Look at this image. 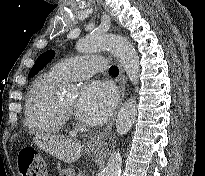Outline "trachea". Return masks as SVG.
Segmentation results:
<instances>
[{
    "instance_id": "obj_1",
    "label": "trachea",
    "mask_w": 205,
    "mask_h": 176,
    "mask_svg": "<svg viewBox=\"0 0 205 176\" xmlns=\"http://www.w3.org/2000/svg\"><path fill=\"white\" fill-rule=\"evenodd\" d=\"M118 73H119L118 67L115 66V65H112V66L110 67V74H111V75H118Z\"/></svg>"
}]
</instances>
